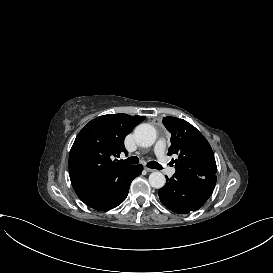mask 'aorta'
Wrapping results in <instances>:
<instances>
[{"mask_svg":"<svg viewBox=\"0 0 273 273\" xmlns=\"http://www.w3.org/2000/svg\"><path fill=\"white\" fill-rule=\"evenodd\" d=\"M155 128L147 123L138 125L134 131V139L141 147H150L156 141ZM166 179L161 172H153L149 175V183L151 187L160 189L165 185Z\"/></svg>","mask_w":273,"mask_h":273,"instance_id":"aorta-1","label":"aorta"}]
</instances>
